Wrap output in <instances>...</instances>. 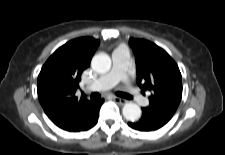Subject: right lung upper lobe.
Masks as SVG:
<instances>
[{
    "instance_id": "right-lung-upper-lobe-1",
    "label": "right lung upper lobe",
    "mask_w": 225,
    "mask_h": 155,
    "mask_svg": "<svg viewBox=\"0 0 225 155\" xmlns=\"http://www.w3.org/2000/svg\"><path fill=\"white\" fill-rule=\"evenodd\" d=\"M97 46L98 40L92 37L69 41L49 57L40 71L39 101L49 119L60 128L72 124L92 103L84 97L78 99L75 92Z\"/></svg>"
}]
</instances>
